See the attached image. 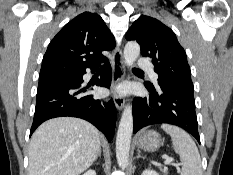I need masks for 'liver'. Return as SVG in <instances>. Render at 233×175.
Segmentation results:
<instances>
[{
    "instance_id": "obj_1",
    "label": "liver",
    "mask_w": 233,
    "mask_h": 175,
    "mask_svg": "<svg viewBox=\"0 0 233 175\" xmlns=\"http://www.w3.org/2000/svg\"><path fill=\"white\" fill-rule=\"evenodd\" d=\"M99 131L74 117H58L41 124L29 145V175H79L96 160Z\"/></svg>"
}]
</instances>
